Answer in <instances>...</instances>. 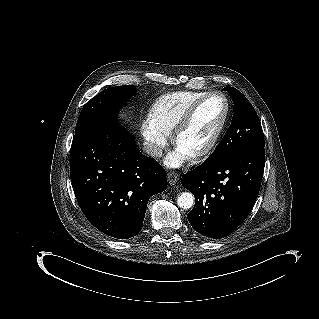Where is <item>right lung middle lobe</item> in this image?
<instances>
[{"label":"right lung middle lobe","instance_id":"obj_1","mask_svg":"<svg viewBox=\"0 0 319 319\" xmlns=\"http://www.w3.org/2000/svg\"><path fill=\"white\" fill-rule=\"evenodd\" d=\"M134 92L133 85L115 86L101 91L81 110L75 135L104 125L118 124V111Z\"/></svg>","mask_w":319,"mask_h":319}]
</instances>
